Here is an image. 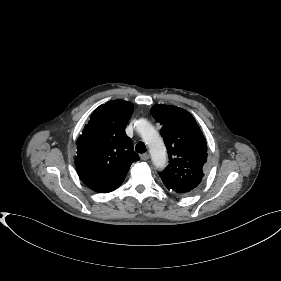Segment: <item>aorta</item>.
Listing matches in <instances>:
<instances>
[{"instance_id":"762f6f07","label":"aorta","mask_w":281,"mask_h":281,"mask_svg":"<svg viewBox=\"0 0 281 281\" xmlns=\"http://www.w3.org/2000/svg\"><path fill=\"white\" fill-rule=\"evenodd\" d=\"M136 127L149 147L153 164L156 168H164L167 163V153L163 140L154 127L144 119L136 122Z\"/></svg>"}]
</instances>
